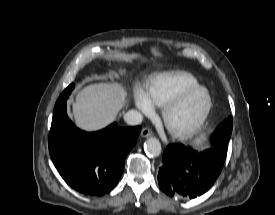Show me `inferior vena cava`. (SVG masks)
Returning a JSON list of instances; mask_svg holds the SVG:
<instances>
[{"mask_svg": "<svg viewBox=\"0 0 275 215\" xmlns=\"http://www.w3.org/2000/svg\"><path fill=\"white\" fill-rule=\"evenodd\" d=\"M124 120L129 125H138L142 122L143 116L136 110H129L127 113H125Z\"/></svg>", "mask_w": 275, "mask_h": 215, "instance_id": "inferior-vena-cava-1", "label": "inferior vena cava"}]
</instances>
